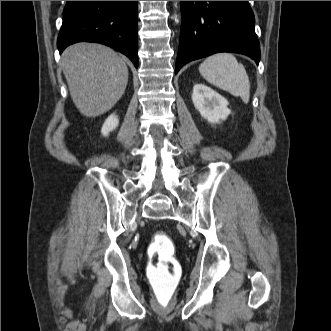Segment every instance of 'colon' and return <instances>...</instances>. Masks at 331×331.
I'll return each mask as SVG.
<instances>
[{
  "label": "colon",
  "mask_w": 331,
  "mask_h": 331,
  "mask_svg": "<svg viewBox=\"0 0 331 331\" xmlns=\"http://www.w3.org/2000/svg\"><path fill=\"white\" fill-rule=\"evenodd\" d=\"M175 247L164 232L154 234L149 247L147 276L155 303L165 308L171 305L181 277V266L174 256Z\"/></svg>",
  "instance_id": "1"
}]
</instances>
